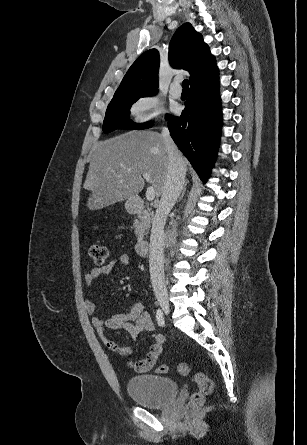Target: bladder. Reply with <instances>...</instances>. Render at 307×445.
Masks as SVG:
<instances>
[{
    "instance_id": "obj_1",
    "label": "bladder",
    "mask_w": 307,
    "mask_h": 445,
    "mask_svg": "<svg viewBox=\"0 0 307 445\" xmlns=\"http://www.w3.org/2000/svg\"><path fill=\"white\" fill-rule=\"evenodd\" d=\"M127 392L137 404L158 409L170 404L177 396V383L167 377L139 374L127 381Z\"/></svg>"
}]
</instances>
